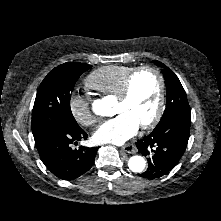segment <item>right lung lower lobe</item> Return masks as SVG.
I'll list each match as a JSON object with an SVG mask.
<instances>
[{"instance_id": "1", "label": "right lung lower lobe", "mask_w": 221, "mask_h": 221, "mask_svg": "<svg viewBox=\"0 0 221 221\" xmlns=\"http://www.w3.org/2000/svg\"><path fill=\"white\" fill-rule=\"evenodd\" d=\"M40 159L48 170L63 180H73L93 165L99 147L72 149L70 145L87 138L81 127L51 126L33 132Z\"/></svg>"}]
</instances>
